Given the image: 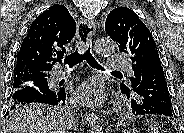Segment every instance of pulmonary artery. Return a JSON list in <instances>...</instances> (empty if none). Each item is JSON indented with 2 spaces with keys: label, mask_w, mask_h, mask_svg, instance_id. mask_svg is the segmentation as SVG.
Returning <instances> with one entry per match:
<instances>
[{
  "label": "pulmonary artery",
  "mask_w": 184,
  "mask_h": 133,
  "mask_svg": "<svg viewBox=\"0 0 184 133\" xmlns=\"http://www.w3.org/2000/svg\"><path fill=\"white\" fill-rule=\"evenodd\" d=\"M107 69L109 70H130L129 60L125 55H111L108 57ZM66 76V72L58 71L53 74V80L59 81Z\"/></svg>",
  "instance_id": "pulmonary-artery-1"
}]
</instances>
